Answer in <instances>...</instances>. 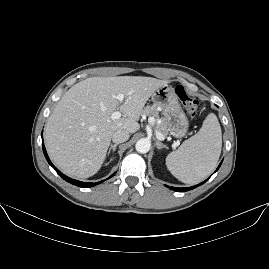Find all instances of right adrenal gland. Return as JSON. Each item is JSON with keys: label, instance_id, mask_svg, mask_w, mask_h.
I'll return each mask as SVG.
<instances>
[{"label": "right adrenal gland", "instance_id": "right-adrenal-gland-1", "mask_svg": "<svg viewBox=\"0 0 269 269\" xmlns=\"http://www.w3.org/2000/svg\"><path fill=\"white\" fill-rule=\"evenodd\" d=\"M118 146V144H111V147L109 148V151H108V157L110 155V153L112 152V159H114V154H115V150H116V147ZM112 160L110 159L109 163H111Z\"/></svg>", "mask_w": 269, "mask_h": 269}]
</instances>
